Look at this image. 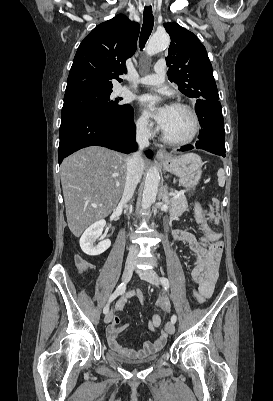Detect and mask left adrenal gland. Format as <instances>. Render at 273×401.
<instances>
[{"mask_svg":"<svg viewBox=\"0 0 273 401\" xmlns=\"http://www.w3.org/2000/svg\"><path fill=\"white\" fill-rule=\"evenodd\" d=\"M160 198H162L163 203H168V186L167 184H165V186H163V192L162 194H160Z\"/></svg>","mask_w":273,"mask_h":401,"instance_id":"a2214340","label":"left adrenal gland"}]
</instances>
